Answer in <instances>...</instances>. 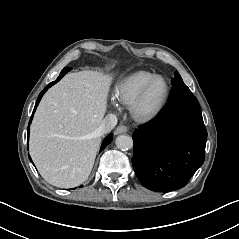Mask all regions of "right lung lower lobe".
I'll return each mask as SVG.
<instances>
[{"label":"right lung lower lobe","mask_w":239,"mask_h":239,"mask_svg":"<svg viewBox=\"0 0 239 239\" xmlns=\"http://www.w3.org/2000/svg\"><path fill=\"white\" fill-rule=\"evenodd\" d=\"M71 69H72L71 67H65V68H63V70L61 71V73H60L59 77L57 78V80L54 81V82H51V83H50L48 86H46V87L44 88V90L40 93V95L38 96V99H37L35 108H34V110H33V113H32L31 119H30V122H31V120H32V117H33V114H34V112H35V110H36V107L38 106V104H39V102H40V100H41L43 94L46 92V90H47L49 87H51L52 85H54L55 83H57V82H58L67 72H69ZM30 122H29V124H30ZM28 129H29V127H28ZM112 140H113V134L111 133V134H109V135L104 139V141H103V143H102V146H101V149H100V152H101L108 144H110ZM30 160H31V159H30ZM81 187H82V186H81Z\"/></svg>","instance_id":"obj_1"}]
</instances>
